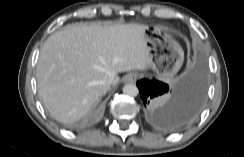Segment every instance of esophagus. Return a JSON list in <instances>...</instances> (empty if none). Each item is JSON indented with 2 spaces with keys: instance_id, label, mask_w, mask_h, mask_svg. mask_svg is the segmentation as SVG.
Here are the masks:
<instances>
[{
  "instance_id": "esophagus-1",
  "label": "esophagus",
  "mask_w": 244,
  "mask_h": 157,
  "mask_svg": "<svg viewBox=\"0 0 244 157\" xmlns=\"http://www.w3.org/2000/svg\"><path fill=\"white\" fill-rule=\"evenodd\" d=\"M138 75L136 73H128L123 77V82L124 83H133L136 81Z\"/></svg>"
}]
</instances>
